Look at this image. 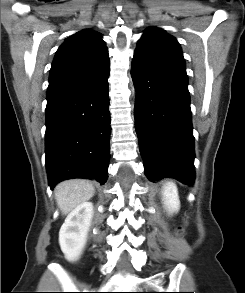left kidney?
<instances>
[{"instance_id":"obj_1","label":"left kidney","mask_w":245,"mask_h":293,"mask_svg":"<svg viewBox=\"0 0 245 293\" xmlns=\"http://www.w3.org/2000/svg\"><path fill=\"white\" fill-rule=\"evenodd\" d=\"M162 201L169 214L177 213L180 209V200L177 186L173 182H167L162 186Z\"/></svg>"}]
</instances>
